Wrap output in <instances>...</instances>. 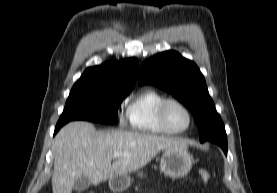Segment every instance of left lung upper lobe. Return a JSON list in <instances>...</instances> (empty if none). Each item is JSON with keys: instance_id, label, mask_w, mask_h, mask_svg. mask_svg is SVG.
Returning a JSON list of instances; mask_svg holds the SVG:
<instances>
[{"instance_id": "obj_1", "label": "left lung upper lobe", "mask_w": 277, "mask_h": 193, "mask_svg": "<svg viewBox=\"0 0 277 193\" xmlns=\"http://www.w3.org/2000/svg\"><path fill=\"white\" fill-rule=\"evenodd\" d=\"M138 83L155 85L188 107L198 125L201 142L211 141L217 135H226L204 76L194 62L179 53L166 51L145 61L140 68Z\"/></svg>"}]
</instances>
